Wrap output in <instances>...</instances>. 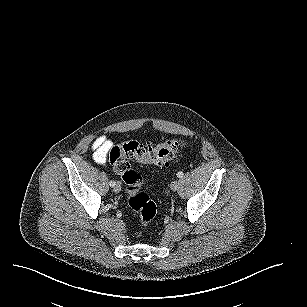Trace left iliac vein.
I'll use <instances>...</instances> for the list:
<instances>
[{
    "label": "left iliac vein",
    "mask_w": 307,
    "mask_h": 307,
    "mask_svg": "<svg viewBox=\"0 0 307 307\" xmlns=\"http://www.w3.org/2000/svg\"><path fill=\"white\" fill-rule=\"evenodd\" d=\"M179 185H180L179 180H173V181L171 182L170 187H171V189H172L173 191H176V190L178 189Z\"/></svg>",
    "instance_id": "obj_1"
}]
</instances>
